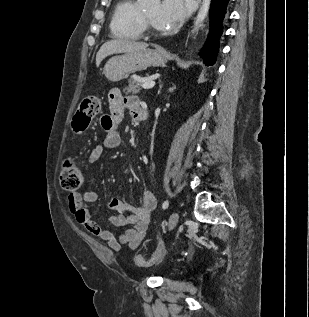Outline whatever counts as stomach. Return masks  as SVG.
<instances>
[{"label": "stomach", "mask_w": 309, "mask_h": 317, "mask_svg": "<svg viewBox=\"0 0 309 317\" xmlns=\"http://www.w3.org/2000/svg\"><path fill=\"white\" fill-rule=\"evenodd\" d=\"M168 58L169 55L160 47L127 52L111 57L104 66L103 74L109 81L118 82L148 67L164 66Z\"/></svg>", "instance_id": "0dacf381"}]
</instances>
